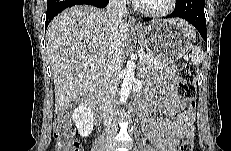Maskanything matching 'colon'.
Instances as JSON below:
<instances>
[{
	"mask_svg": "<svg viewBox=\"0 0 231 151\" xmlns=\"http://www.w3.org/2000/svg\"><path fill=\"white\" fill-rule=\"evenodd\" d=\"M196 67L186 62L179 72L177 94L183 99L185 108L193 109L196 97ZM54 139L57 151H82L79 143L69 132V113L63 111L56 116L54 122ZM179 151H193V138L186 137L180 144Z\"/></svg>",
	"mask_w": 231,
	"mask_h": 151,
	"instance_id": "1",
	"label": "colon"
}]
</instances>
